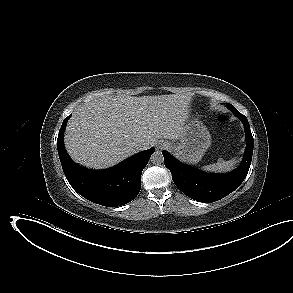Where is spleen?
Listing matches in <instances>:
<instances>
[{
  "label": "spleen",
  "mask_w": 293,
  "mask_h": 293,
  "mask_svg": "<svg viewBox=\"0 0 293 293\" xmlns=\"http://www.w3.org/2000/svg\"><path fill=\"white\" fill-rule=\"evenodd\" d=\"M236 163H237V160L234 158L228 161L219 159L217 163L204 166L203 170L212 171V172H226L233 169Z\"/></svg>",
  "instance_id": "spleen-1"
}]
</instances>
